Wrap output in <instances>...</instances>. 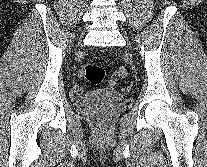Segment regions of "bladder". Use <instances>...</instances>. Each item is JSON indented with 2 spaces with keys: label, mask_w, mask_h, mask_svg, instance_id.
<instances>
[{
  "label": "bladder",
  "mask_w": 207,
  "mask_h": 167,
  "mask_svg": "<svg viewBox=\"0 0 207 167\" xmlns=\"http://www.w3.org/2000/svg\"><path fill=\"white\" fill-rule=\"evenodd\" d=\"M119 98V93L113 90H94L84 95L86 101H105Z\"/></svg>",
  "instance_id": "31cf9c89"
}]
</instances>
